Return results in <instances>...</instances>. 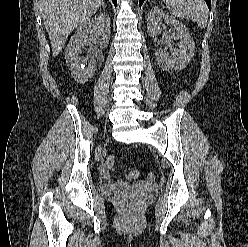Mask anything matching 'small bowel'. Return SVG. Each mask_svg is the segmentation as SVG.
Returning a JSON list of instances; mask_svg holds the SVG:
<instances>
[{
	"label": "small bowel",
	"mask_w": 248,
	"mask_h": 247,
	"mask_svg": "<svg viewBox=\"0 0 248 247\" xmlns=\"http://www.w3.org/2000/svg\"><path fill=\"white\" fill-rule=\"evenodd\" d=\"M100 172L101 174L105 177L108 178L109 177V173L107 172V170L105 169V167H100Z\"/></svg>",
	"instance_id": "c3829d8e"
}]
</instances>
